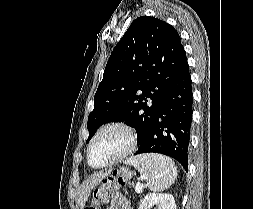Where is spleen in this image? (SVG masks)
<instances>
[{"instance_id":"spleen-1","label":"spleen","mask_w":253,"mask_h":209,"mask_svg":"<svg viewBox=\"0 0 253 209\" xmlns=\"http://www.w3.org/2000/svg\"><path fill=\"white\" fill-rule=\"evenodd\" d=\"M134 166L147 181L152 191L169 188L177 178V168L172 159L160 154H142L125 161Z\"/></svg>"}]
</instances>
